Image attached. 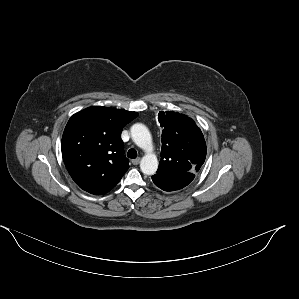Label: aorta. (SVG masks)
<instances>
[{
  "instance_id": "obj_1",
  "label": "aorta",
  "mask_w": 299,
  "mask_h": 299,
  "mask_svg": "<svg viewBox=\"0 0 299 299\" xmlns=\"http://www.w3.org/2000/svg\"><path fill=\"white\" fill-rule=\"evenodd\" d=\"M130 134L133 142L143 149L146 154L140 162V169L146 175H153L158 168V160L156 155L152 152V138L147 127L141 123L132 125Z\"/></svg>"
}]
</instances>
